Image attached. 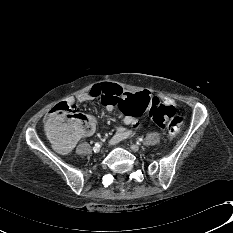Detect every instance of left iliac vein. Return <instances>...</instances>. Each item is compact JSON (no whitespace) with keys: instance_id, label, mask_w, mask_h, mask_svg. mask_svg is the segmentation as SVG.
Returning a JSON list of instances; mask_svg holds the SVG:
<instances>
[{"instance_id":"4c4485c4","label":"left iliac vein","mask_w":233,"mask_h":233,"mask_svg":"<svg viewBox=\"0 0 233 233\" xmlns=\"http://www.w3.org/2000/svg\"><path fill=\"white\" fill-rule=\"evenodd\" d=\"M130 148L134 152H138L140 150V147L136 144L131 145Z\"/></svg>"}]
</instances>
